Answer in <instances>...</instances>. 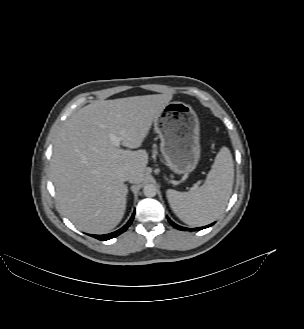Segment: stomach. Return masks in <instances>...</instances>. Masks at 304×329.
I'll list each match as a JSON object with an SVG mask.
<instances>
[{
    "label": "stomach",
    "instance_id": "stomach-1",
    "mask_svg": "<svg viewBox=\"0 0 304 329\" xmlns=\"http://www.w3.org/2000/svg\"><path fill=\"white\" fill-rule=\"evenodd\" d=\"M154 127L166 165L176 174L191 173L200 158V125L192 107L183 102L168 103Z\"/></svg>",
    "mask_w": 304,
    "mask_h": 329
}]
</instances>
